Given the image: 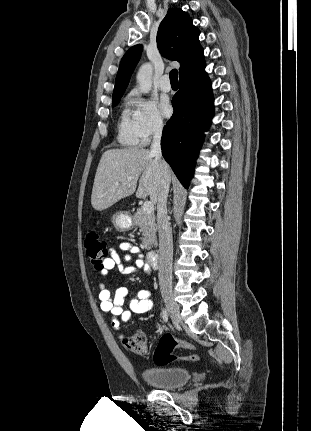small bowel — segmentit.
I'll use <instances>...</instances> for the list:
<instances>
[{
  "instance_id": "1",
  "label": "small bowel",
  "mask_w": 311,
  "mask_h": 431,
  "mask_svg": "<svg viewBox=\"0 0 311 431\" xmlns=\"http://www.w3.org/2000/svg\"><path fill=\"white\" fill-rule=\"evenodd\" d=\"M119 248L128 253L121 257L115 250H112L105 259L103 268L100 271L103 276L109 275L116 269L124 274H131L140 269L148 270L145 257L139 253V249L136 246L123 242L119 244ZM123 261L132 262V264L124 266ZM128 294L129 291L126 287L118 288L115 294L112 295L104 284L100 285V309L113 316L112 326L118 332L120 331L121 322L128 321L133 314L147 313L154 306L151 292L142 289L137 291L135 296L129 300V308L124 310L123 305ZM120 336L122 337V334Z\"/></svg>"
}]
</instances>
